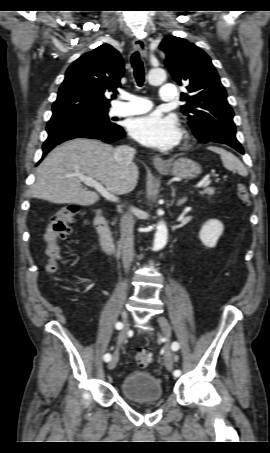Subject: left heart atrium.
<instances>
[{"label":"left heart atrium","mask_w":270,"mask_h":453,"mask_svg":"<svg viewBox=\"0 0 270 453\" xmlns=\"http://www.w3.org/2000/svg\"><path fill=\"white\" fill-rule=\"evenodd\" d=\"M128 131L141 144L162 150L174 147L181 138L176 119L158 113L132 119Z\"/></svg>","instance_id":"1"}]
</instances>
